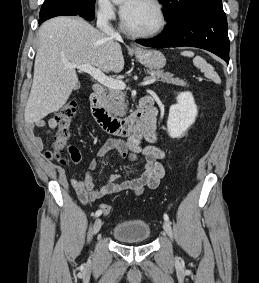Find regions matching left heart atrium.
Returning a JSON list of instances; mask_svg holds the SVG:
<instances>
[{"label": "left heart atrium", "mask_w": 259, "mask_h": 283, "mask_svg": "<svg viewBox=\"0 0 259 283\" xmlns=\"http://www.w3.org/2000/svg\"><path fill=\"white\" fill-rule=\"evenodd\" d=\"M135 0H124L121 6V13L122 15H125L129 9L131 8V6L133 5Z\"/></svg>", "instance_id": "39dd6f15"}]
</instances>
